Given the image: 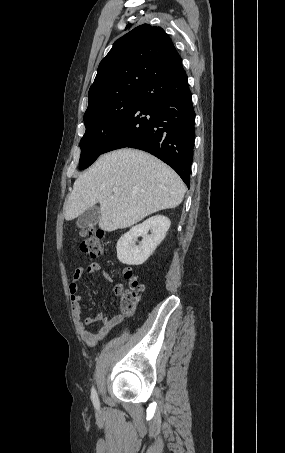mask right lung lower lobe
I'll return each instance as SVG.
<instances>
[{"mask_svg": "<svg viewBox=\"0 0 285 453\" xmlns=\"http://www.w3.org/2000/svg\"><path fill=\"white\" fill-rule=\"evenodd\" d=\"M103 153L131 147L171 166L190 187L195 112L182 64L152 79Z\"/></svg>", "mask_w": 285, "mask_h": 453, "instance_id": "right-lung-lower-lobe-1", "label": "right lung lower lobe"}]
</instances>
